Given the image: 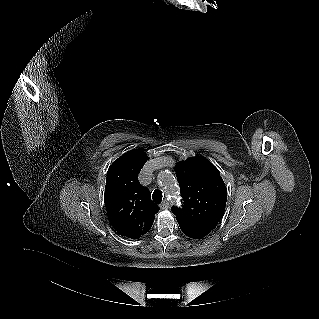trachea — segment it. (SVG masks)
I'll return each mask as SVG.
<instances>
[{
    "label": "trachea",
    "mask_w": 319,
    "mask_h": 319,
    "mask_svg": "<svg viewBox=\"0 0 319 319\" xmlns=\"http://www.w3.org/2000/svg\"><path fill=\"white\" fill-rule=\"evenodd\" d=\"M162 192L160 190H155L152 194V199L156 204H160L162 201Z\"/></svg>",
    "instance_id": "obj_1"
}]
</instances>
